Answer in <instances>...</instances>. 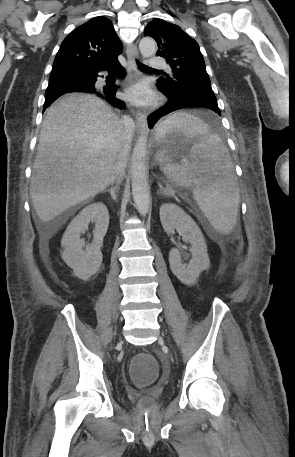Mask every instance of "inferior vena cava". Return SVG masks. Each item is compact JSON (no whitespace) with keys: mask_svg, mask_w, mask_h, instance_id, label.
<instances>
[{"mask_svg":"<svg viewBox=\"0 0 295 457\" xmlns=\"http://www.w3.org/2000/svg\"><path fill=\"white\" fill-rule=\"evenodd\" d=\"M121 123L124 127V139L130 141L134 134V121L130 116H125L122 118ZM127 152L123 149L118 157V160L115 165L114 179L121 182L125 173L126 163H127Z\"/></svg>","mask_w":295,"mask_h":457,"instance_id":"1","label":"inferior vena cava"}]
</instances>
